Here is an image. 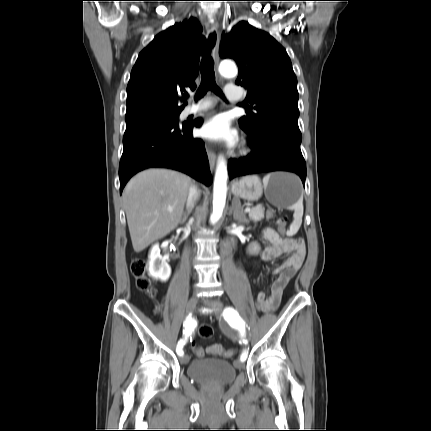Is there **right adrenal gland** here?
I'll return each instance as SVG.
<instances>
[{
	"mask_svg": "<svg viewBox=\"0 0 431 431\" xmlns=\"http://www.w3.org/2000/svg\"><path fill=\"white\" fill-rule=\"evenodd\" d=\"M193 206L187 211V213H184L183 218L181 220V224L184 223L186 221V219L188 218V215L190 214V212L192 211Z\"/></svg>",
	"mask_w": 431,
	"mask_h": 431,
	"instance_id": "1",
	"label": "right adrenal gland"
}]
</instances>
